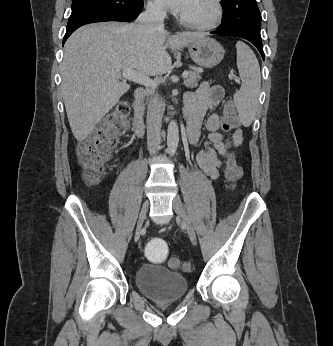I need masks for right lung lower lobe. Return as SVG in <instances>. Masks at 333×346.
I'll use <instances>...</instances> for the list:
<instances>
[{
    "instance_id": "obj_1",
    "label": "right lung lower lobe",
    "mask_w": 333,
    "mask_h": 346,
    "mask_svg": "<svg viewBox=\"0 0 333 346\" xmlns=\"http://www.w3.org/2000/svg\"><path fill=\"white\" fill-rule=\"evenodd\" d=\"M143 8V0L139 5L126 13H103V12H92L87 13L67 24L66 34L63 38V44L67 38L79 27L95 22H105V21H121L130 22L134 20Z\"/></svg>"
}]
</instances>
